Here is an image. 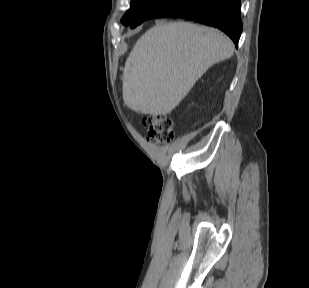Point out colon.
Wrapping results in <instances>:
<instances>
[{"mask_svg":"<svg viewBox=\"0 0 309 288\" xmlns=\"http://www.w3.org/2000/svg\"><path fill=\"white\" fill-rule=\"evenodd\" d=\"M147 139L153 144H168L174 138L172 119L166 114L149 115L143 119Z\"/></svg>","mask_w":309,"mask_h":288,"instance_id":"1","label":"colon"}]
</instances>
